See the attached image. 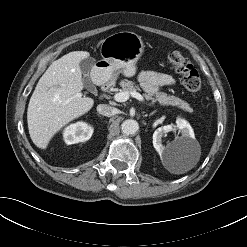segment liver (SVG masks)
Here are the masks:
<instances>
[{
    "instance_id": "1",
    "label": "liver",
    "mask_w": 247,
    "mask_h": 247,
    "mask_svg": "<svg viewBox=\"0 0 247 247\" xmlns=\"http://www.w3.org/2000/svg\"><path fill=\"white\" fill-rule=\"evenodd\" d=\"M87 57L86 51L70 52L52 62L39 79L27 109L29 134L38 148L46 149L55 133L93 107L94 100L81 94L80 62Z\"/></svg>"
}]
</instances>
